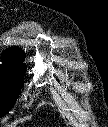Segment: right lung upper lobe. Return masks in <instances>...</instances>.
Wrapping results in <instances>:
<instances>
[{"label": "right lung upper lobe", "instance_id": "1", "mask_svg": "<svg viewBox=\"0 0 108 127\" xmlns=\"http://www.w3.org/2000/svg\"><path fill=\"white\" fill-rule=\"evenodd\" d=\"M1 57H2V65L18 64L25 66L23 64L24 53L17 47H12L10 49L4 50Z\"/></svg>", "mask_w": 108, "mask_h": 127}]
</instances>
